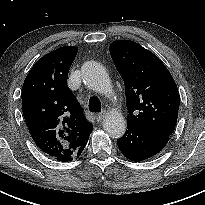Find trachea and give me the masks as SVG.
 <instances>
[{
	"mask_svg": "<svg viewBox=\"0 0 205 205\" xmlns=\"http://www.w3.org/2000/svg\"><path fill=\"white\" fill-rule=\"evenodd\" d=\"M89 110L91 112H100L101 111V103L97 97L93 96L89 99Z\"/></svg>",
	"mask_w": 205,
	"mask_h": 205,
	"instance_id": "3493384b",
	"label": "trachea"
}]
</instances>
